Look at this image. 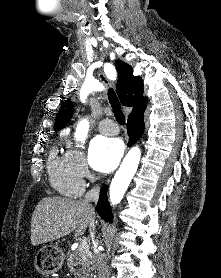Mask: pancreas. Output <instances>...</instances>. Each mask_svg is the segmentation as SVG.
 I'll use <instances>...</instances> for the list:
<instances>
[{
	"label": "pancreas",
	"instance_id": "1",
	"mask_svg": "<svg viewBox=\"0 0 221 278\" xmlns=\"http://www.w3.org/2000/svg\"><path fill=\"white\" fill-rule=\"evenodd\" d=\"M67 265L71 272L76 276L75 278H90L93 271L92 256L88 250H81L78 248L75 252L67 253ZM82 265L81 269L75 270L74 267Z\"/></svg>",
	"mask_w": 221,
	"mask_h": 278
}]
</instances>
